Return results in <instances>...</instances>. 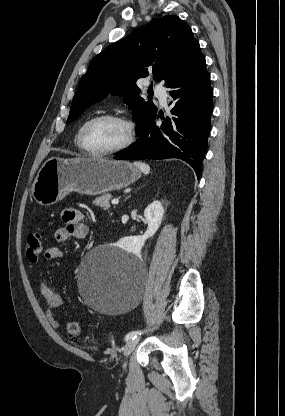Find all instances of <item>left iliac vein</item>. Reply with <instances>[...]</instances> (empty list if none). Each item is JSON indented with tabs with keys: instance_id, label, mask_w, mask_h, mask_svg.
I'll use <instances>...</instances> for the list:
<instances>
[{
	"instance_id": "4c4485c4",
	"label": "left iliac vein",
	"mask_w": 285,
	"mask_h": 416,
	"mask_svg": "<svg viewBox=\"0 0 285 416\" xmlns=\"http://www.w3.org/2000/svg\"><path fill=\"white\" fill-rule=\"evenodd\" d=\"M137 342V339H131L125 344L123 351L125 357L129 356L133 352L134 348L137 345Z\"/></svg>"
}]
</instances>
